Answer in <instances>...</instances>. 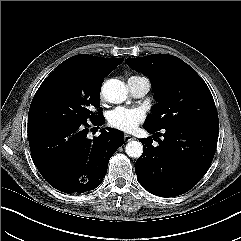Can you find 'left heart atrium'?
<instances>
[{
  "label": "left heart atrium",
  "instance_id": "39dd6f15",
  "mask_svg": "<svg viewBox=\"0 0 241 241\" xmlns=\"http://www.w3.org/2000/svg\"><path fill=\"white\" fill-rule=\"evenodd\" d=\"M107 119L111 127L132 132L144 121L145 113L140 108L117 107L108 113Z\"/></svg>",
  "mask_w": 241,
  "mask_h": 241
}]
</instances>
